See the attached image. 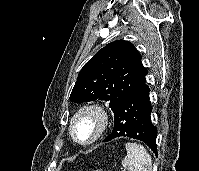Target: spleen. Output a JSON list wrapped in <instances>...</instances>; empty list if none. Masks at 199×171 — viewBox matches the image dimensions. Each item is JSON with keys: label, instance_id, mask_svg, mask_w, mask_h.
<instances>
[{"label": "spleen", "instance_id": "3e777b00", "mask_svg": "<svg viewBox=\"0 0 199 171\" xmlns=\"http://www.w3.org/2000/svg\"><path fill=\"white\" fill-rule=\"evenodd\" d=\"M127 155L122 165L129 171H152V159L143 145L127 142L125 144Z\"/></svg>", "mask_w": 199, "mask_h": 171}]
</instances>
